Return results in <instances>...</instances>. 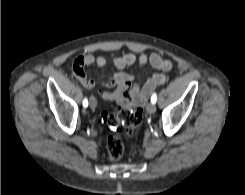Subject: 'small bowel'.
Segmentation results:
<instances>
[{
    "label": "small bowel",
    "mask_w": 245,
    "mask_h": 195,
    "mask_svg": "<svg viewBox=\"0 0 245 195\" xmlns=\"http://www.w3.org/2000/svg\"><path fill=\"white\" fill-rule=\"evenodd\" d=\"M110 62L118 71L111 73L102 85L105 87L115 86L116 88L112 92L103 91L101 93L102 98L116 101L120 105H134L138 107L145 104L157 86L164 84L166 77L162 72H167L173 67L169 59L163 58L156 52L142 53L139 56L133 53L113 56ZM93 64L102 68L107 64V58L101 54L95 56L92 53H85L79 56L73 65V71L76 77L84 87L89 89L94 87L95 82L89 78L85 67ZM135 64L141 66L149 64L157 71L140 86L136 82L133 74L123 71L126 67Z\"/></svg>",
    "instance_id": "small-bowel-1"
}]
</instances>
